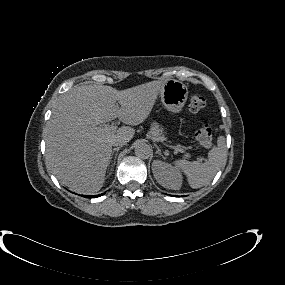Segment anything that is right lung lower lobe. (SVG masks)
I'll list each match as a JSON object with an SVG mask.
<instances>
[{
  "mask_svg": "<svg viewBox=\"0 0 285 285\" xmlns=\"http://www.w3.org/2000/svg\"><path fill=\"white\" fill-rule=\"evenodd\" d=\"M102 195V194H101ZM101 195H95V196H84V197H87V198H93V197H98V196H101Z\"/></svg>",
  "mask_w": 285,
  "mask_h": 285,
  "instance_id": "right-lung-lower-lobe-1",
  "label": "right lung lower lobe"
}]
</instances>
